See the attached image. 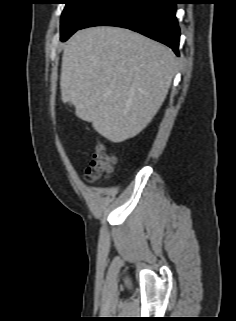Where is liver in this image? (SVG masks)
Masks as SVG:
<instances>
[{
    "label": "liver",
    "mask_w": 236,
    "mask_h": 321,
    "mask_svg": "<svg viewBox=\"0 0 236 321\" xmlns=\"http://www.w3.org/2000/svg\"><path fill=\"white\" fill-rule=\"evenodd\" d=\"M177 60L167 46L119 27L77 31L62 55L60 89L78 118L120 143L139 134L163 104Z\"/></svg>",
    "instance_id": "obj_1"
}]
</instances>
